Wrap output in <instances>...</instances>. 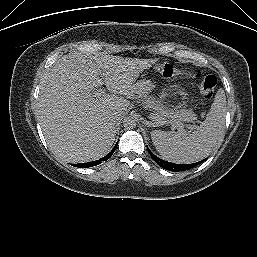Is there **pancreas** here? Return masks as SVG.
<instances>
[{
    "label": "pancreas",
    "instance_id": "1",
    "mask_svg": "<svg viewBox=\"0 0 257 257\" xmlns=\"http://www.w3.org/2000/svg\"><path fill=\"white\" fill-rule=\"evenodd\" d=\"M143 105L158 114L161 118H167L171 122H192L196 119V115L192 110L167 107L161 101L156 100L154 96H145Z\"/></svg>",
    "mask_w": 257,
    "mask_h": 257
}]
</instances>
